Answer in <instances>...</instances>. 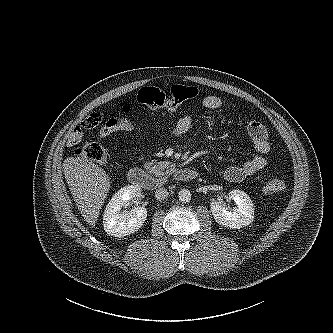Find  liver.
Listing matches in <instances>:
<instances>
[{
	"label": "liver",
	"instance_id": "6515ba94",
	"mask_svg": "<svg viewBox=\"0 0 333 333\" xmlns=\"http://www.w3.org/2000/svg\"><path fill=\"white\" fill-rule=\"evenodd\" d=\"M62 168L79 211L94 227L111 187L110 177L86 155L66 158Z\"/></svg>",
	"mask_w": 333,
	"mask_h": 333
}]
</instances>
